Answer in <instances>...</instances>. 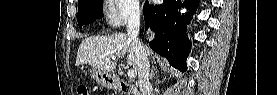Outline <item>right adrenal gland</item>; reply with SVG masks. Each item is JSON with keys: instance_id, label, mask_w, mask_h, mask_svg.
<instances>
[{"instance_id": "right-adrenal-gland-1", "label": "right adrenal gland", "mask_w": 277, "mask_h": 95, "mask_svg": "<svg viewBox=\"0 0 277 95\" xmlns=\"http://www.w3.org/2000/svg\"><path fill=\"white\" fill-rule=\"evenodd\" d=\"M155 68L153 67L152 69H151V72H150V79L152 80L153 78H154V76H155Z\"/></svg>"}]
</instances>
